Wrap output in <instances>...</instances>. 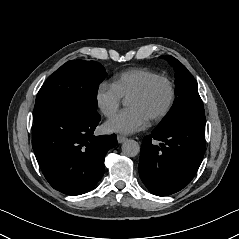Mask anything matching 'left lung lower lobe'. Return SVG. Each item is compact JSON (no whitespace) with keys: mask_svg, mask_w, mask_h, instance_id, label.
<instances>
[{"mask_svg":"<svg viewBox=\"0 0 239 239\" xmlns=\"http://www.w3.org/2000/svg\"><path fill=\"white\" fill-rule=\"evenodd\" d=\"M153 140L161 143L154 145ZM205 153V122L187 119L144 137L139 175L147 189L167 196L183 189L195 176Z\"/></svg>","mask_w":239,"mask_h":239,"instance_id":"0a47b994","label":"left lung lower lobe"}]
</instances>
